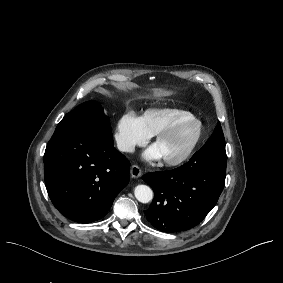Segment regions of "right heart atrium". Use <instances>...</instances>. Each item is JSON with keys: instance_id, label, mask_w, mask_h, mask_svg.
I'll return each mask as SVG.
<instances>
[{"instance_id": "obj_1", "label": "right heart atrium", "mask_w": 283, "mask_h": 283, "mask_svg": "<svg viewBox=\"0 0 283 283\" xmlns=\"http://www.w3.org/2000/svg\"><path fill=\"white\" fill-rule=\"evenodd\" d=\"M151 137L143 119L132 111L119 114L113 123V141L121 152L131 153Z\"/></svg>"}]
</instances>
